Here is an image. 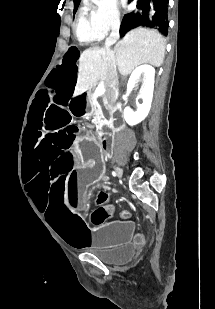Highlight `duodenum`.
<instances>
[{
  "label": "duodenum",
  "instance_id": "duodenum-1",
  "mask_svg": "<svg viewBox=\"0 0 215 309\" xmlns=\"http://www.w3.org/2000/svg\"><path fill=\"white\" fill-rule=\"evenodd\" d=\"M101 143L104 147L107 146V139L105 137V134H101Z\"/></svg>",
  "mask_w": 215,
  "mask_h": 309
}]
</instances>
